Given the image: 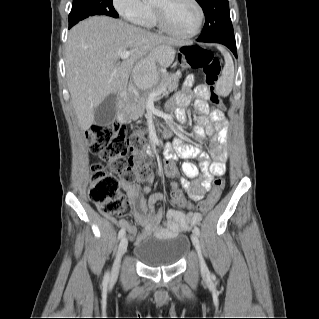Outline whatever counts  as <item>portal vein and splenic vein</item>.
Here are the masks:
<instances>
[{"mask_svg": "<svg viewBox=\"0 0 319 319\" xmlns=\"http://www.w3.org/2000/svg\"><path fill=\"white\" fill-rule=\"evenodd\" d=\"M130 54H131L130 51H122V52L119 53V58H121V59H127V58H129ZM162 91H163V89L150 93L149 98H153V97H155L156 95L161 94Z\"/></svg>", "mask_w": 319, "mask_h": 319, "instance_id": "obj_1", "label": "portal vein and splenic vein"}]
</instances>
